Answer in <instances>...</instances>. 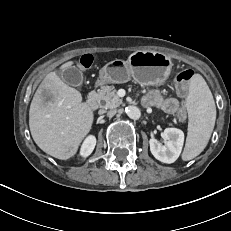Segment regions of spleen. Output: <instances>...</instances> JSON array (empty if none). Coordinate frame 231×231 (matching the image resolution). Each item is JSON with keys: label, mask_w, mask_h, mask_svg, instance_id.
<instances>
[{"label": "spleen", "mask_w": 231, "mask_h": 231, "mask_svg": "<svg viewBox=\"0 0 231 231\" xmlns=\"http://www.w3.org/2000/svg\"><path fill=\"white\" fill-rule=\"evenodd\" d=\"M188 134L182 159L189 161L207 146L214 129L216 107L212 93L200 74H195L187 96Z\"/></svg>", "instance_id": "spleen-1"}]
</instances>
